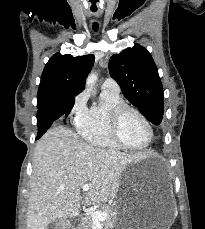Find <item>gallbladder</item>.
Instances as JSON below:
<instances>
[{"mask_svg":"<svg viewBox=\"0 0 205 229\" xmlns=\"http://www.w3.org/2000/svg\"><path fill=\"white\" fill-rule=\"evenodd\" d=\"M65 226H67L66 221L64 219H58L49 223L46 229H63L62 227Z\"/></svg>","mask_w":205,"mask_h":229,"instance_id":"gallbladder-1","label":"gallbladder"}]
</instances>
